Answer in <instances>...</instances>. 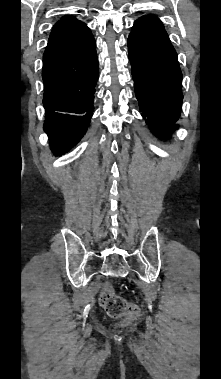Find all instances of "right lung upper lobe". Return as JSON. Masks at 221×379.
<instances>
[{
  "mask_svg": "<svg viewBox=\"0 0 221 379\" xmlns=\"http://www.w3.org/2000/svg\"><path fill=\"white\" fill-rule=\"evenodd\" d=\"M83 22L78 21L72 16H65L61 18L53 27L49 37V41L68 34L82 25Z\"/></svg>",
  "mask_w": 221,
  "mask_h": 379,
  "instance_id": "obj_1",
  "label": "right lung upper lobe"
}]
</instances>
